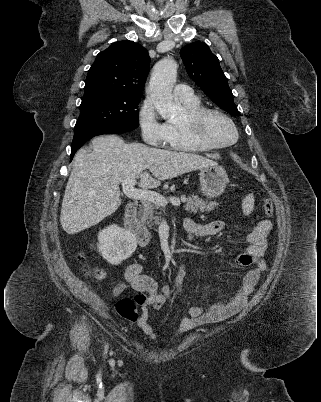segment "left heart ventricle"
<instances>
[{"label": "left heart ventricle", "instance_id": "b2bd125f", "mask_svg": "<svg viewBox=\"0 0 321 402\" xmlns=\"http://www.w3.org/2000/svg\"><path fill=\"white\" fill-rule=\"evenodd\" d=\"M206 136L216 143H228L234 139L231 125L218 115H209L204 123Z\"/></svg>", "mask_w": 321, "mask_h": 402}]
</instances>
